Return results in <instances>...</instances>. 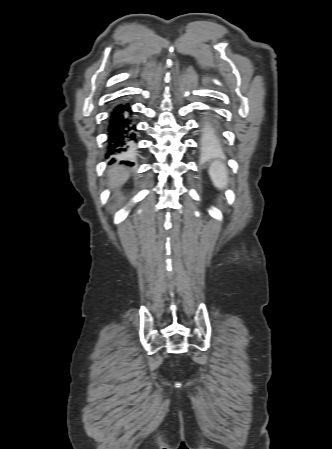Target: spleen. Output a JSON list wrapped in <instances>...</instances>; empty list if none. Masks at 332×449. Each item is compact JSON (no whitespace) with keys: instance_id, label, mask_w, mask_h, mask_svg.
<instances>
[{"instance_id":"3e777b00","label":"spleen","mask_w":332,"mask_h":449,"mask_svg":"<svg viewBox=\"0 0 332 449\" xmlns=\"http://www.w3.org/2000/svg\"><path fill=\"white\" fill-rule=\"evenodd\" d=\"M209 175L215 187L223 189L228 184V172L221 162H213L209 168Z\"/></svg>"}]
</instances>
